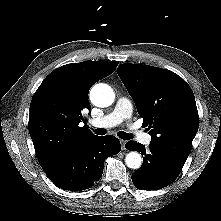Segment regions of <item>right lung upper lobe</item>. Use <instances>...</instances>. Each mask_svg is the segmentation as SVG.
<instances>
[{"label":"right lung upper lobe","mask_w":221,"mask_h":221,"mask_svg":"<svg viewBox=\"0 0 221 221\" xmlns=\"http://www.w3.org/2000/svg\"><path fill=\"white\" fill-rule=\"evenodd\" d=\"M117 65L101 61L67 64L39 86L30 104L28 129L43 170L96 137L78 124L85 123L82 113L90 109L89 89Z\"/></svg>","instance_id":"obj_1"}]
</instances>
